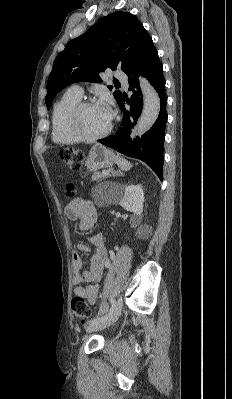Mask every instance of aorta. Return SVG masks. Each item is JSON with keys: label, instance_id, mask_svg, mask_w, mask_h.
Here are the masks:
<instances>
[{"label": "aorta", "instance_id": "762f6f07", "mask_svg": "<svg viewBox=\"0 0 232 399\" xmlns=\"http://www.w3.org/2000/svg\"><path fill=\"white\" fill-rule=\"evenodd\" d=\"M140 87L143 94V109L132 132L133 135L139 136L152 127L160 112V99L156 90L145 78L140 79Z\"/></svg>", "mask_w": 232, "mask_h": 399}]
</instances>
